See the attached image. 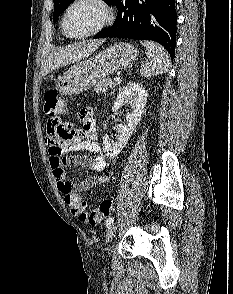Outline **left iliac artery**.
Returning a JSON list of instances; mask_svg holds the SVG:
<instances>
[{
  "instance_id": "1",
  "label": "left iliac artery",
  "mask_w": 233,
  "mask_h": 294,
  "mask_svg": "<svg viewBox=\"0 0 233 294\" xmlns=\"http://www.w3.org/2000/svg\"><path fill=\"white\" fill-rule=\"evenodd\" d=\"M114 222V218L113 217H109L107 220H106V226L107 227H110Z\"/></svg>"
}]
</instances>
